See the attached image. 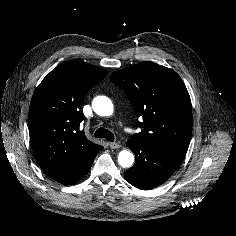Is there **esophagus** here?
Masks as SVG:
<instances>
[{"mask_svg":"<svg viewBox=\"0 0 236 236\" xmlns=\"http://www.w3.org/2000/svg\"><path fill=\"white\" fill-rule=\"evenodd\" d=\"M109 146H110L111 149L120 148V144L117 143V142H110V143H109Z\"/></svg>","mask_w":236,"mask_h":236,"instance_id":"1","label":"esophagus"}]
</instances>
